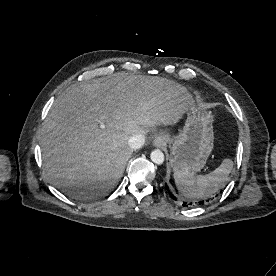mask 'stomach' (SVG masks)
Listing matches in <instances>:
<instances>
[{
	"label": "stomach",
	"mask_w": 276,
	"mask_h": 276,
	"mask_svg": "<svg viewBox=\"0 0 276 276\" xmlns=\"http://www.w3.org/2000/svg\"><path fill=\"white\" fill-rule=\"evenodd\" d=\"M170 144V166L174 171L199 172L213 150V116L210 112L191 108L183 130L175 137L167 136Z\"/></svg>",
	"instance_id": "0dacf381"
}]
</instances>
